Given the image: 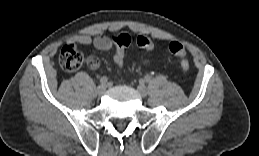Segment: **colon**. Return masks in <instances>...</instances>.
<instances>
[{
    "label": "colon",
    "instance_id": "1",
    "mask_svg": "<svg viewBox=\"0 0 259 156\" xmlns=\"http://www.w3.org/2000/svg\"><path fill=\"white\" fill-rule=\"evenodd\" d=\"M116 46L114 61L119 67L124 65L125 49L132 43V37L129 34L122 33L113 38ZM135 43L146 51L154 49L153 42L146 36L139 35L135 39ZM170 53L180 60V66L183 72L189 69V61L187 52L182 43L174 41L169 45ZM84 58L82 53L71 44L65 45L59 55V63L63 70L73 73L81 68Z\"/></svg>",
    "mask_w": 259,
    "mask_h": 156
}]
</instances>
